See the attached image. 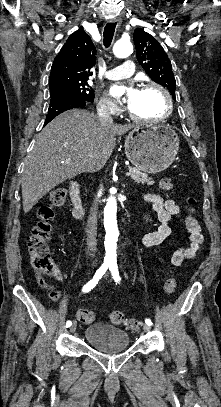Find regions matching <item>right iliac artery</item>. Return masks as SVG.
I'll list each match as a JSON object with an SVG mask.
<instances>
[{"label":"right iliac artery","mask_w":221,"mask_h":407,"mask_svg":"<svg viewBox=\"0 0 221 407\" xmlns=\"http://www.w3.org/2000/svg\"><path fill=\"white\" fill-rule=\"evenodd\" d=\"M109 265L108 264H103L95 273L94 277L92 280H90L86 285H84L82 291L84 293L89 292L91 289H93L98 281L101 279V277L105 274L107 271ZM72 325L71 321H67L66 323V328L70 327Z\"/></svg>","instance_id":"obj_1"}]
</instances>
